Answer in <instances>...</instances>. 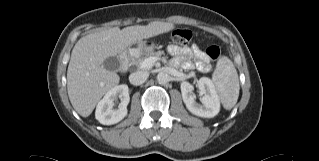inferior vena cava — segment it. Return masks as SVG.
Returning <instances> with one entry per match:
<instances>
[{
	"label": "inferior vena cava",
	"instance_id": "1",
	"mask_svg": "<svg viewBox=\"0 0 319 161\" xmlns=\"http://www.w3.org/2000/svg\"><path fill=\"white\" fill-rule=\"evenodd\" d=\"M147 78H148V72L136 71V72L130 74L129 81L132 85L138 86V85L143 84Z\"/></svg>",
	"mask_w": 319,
	"mask_h": 161
}]
</instances>
